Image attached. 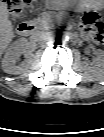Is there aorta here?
Wrapping results in <instances>:
<instances>
[{
	"instance_id": "1",
	"label": "aorta",
	"mask_w": 104,
	"mask_h": 137,
	"mask_svg": "<svg viewBox=\"0 0 104 137\" xmlns=\"http://www.w3.org/2000/svg\"><path fill=\"white\" fill-rule=\"evenodd\" d=\"M57 38L61 40H66L68 38V33L65 30H58L57 31Z\"/></svg>"
}]
</instances>
